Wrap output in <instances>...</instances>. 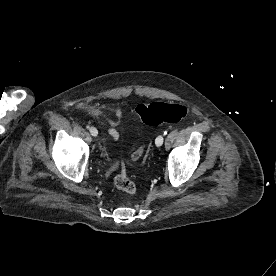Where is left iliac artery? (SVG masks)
Segmentation results:
<instances>
[{
    "label": "left iliac artery",
    "instance_id": "44dca946",
    "mask_svg": "<svg viewBox=\"0 0 276 276\" xmlns=\"http://www.w3.org/2000/svg\"><path fill=\"white\" fill-rule=\"evenodd\" d=\"M167 134V132H164V135H166Z\"/></svg>",
    "mask_w": 276,
    "mask_h": 276
}]
</instances>
